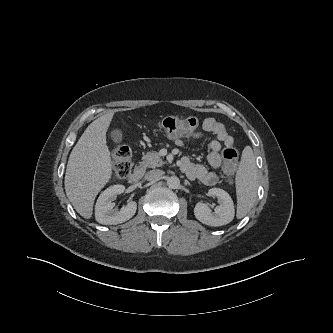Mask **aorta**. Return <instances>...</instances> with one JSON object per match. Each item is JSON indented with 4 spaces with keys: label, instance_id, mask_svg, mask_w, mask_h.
I'll use <instances>...</instances> for the list:
<instances>
[{
    "label": "aorta",
    "instance_id": "762f6f07",
    "mask_svg": "<svg viewBox=\"0 0 333 333\" xmlns=\"http://www.w3.org/2000/svg\"><path fill=\"white\" fill-rule=\"evenodd\" d=\"M180 185V180L176 176L168 177L167 186L171 189H177Z\"/></svg>",
    "mask_w": 333,
    "mask_h": 333
}]
</instances>
